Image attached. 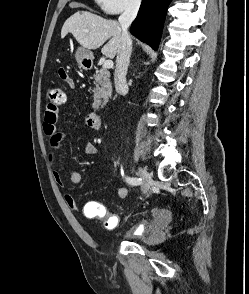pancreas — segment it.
Masks as SVG:
<instances>
[{
    "label": "pancreas",
    "mask_w": 249,
    "mask_h": 294,
    "mask_svg": "<svg viewBox=\"0 0 249 294\" xmlns=\"http://www.w3.org/2000/svg\"><path fill=\"white\" fill-rule=\"evenodd\" d=\"M94 90H93V105L92 107L95 110H98L99 107H104L108 102V99L112 95V87L110 82V73L107 68L102 67L100 70L96 71L94 74Z\"/></svg>",
    "instance_id": "pancreas-1"
}]
</instances>
